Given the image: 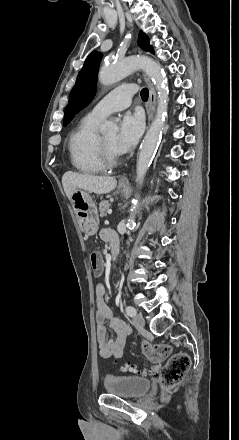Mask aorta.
Instances as JSON below:
<instances>
[{"instance_id": "762f6f07", "label": "aorta", "mask_w": 239, "mask_h": 440, "mask_svg": "<svg viewBox=\"0 0 239 440\" xmlns=\"http://www.w3.org/2000/svg\"><path fill=\"white\" fill-rule=\"evenodd\" d=\"M138 68H144L147 76L152 78L156 90L158 92V106L155 116L140 148L139 158L136 164V180L138 186H142L145 178V174L153 160L156 146L160 140L163 128V118L168 108V90L166 88L165 80L163 78V70L160 64L147 58V56H131L124 60L122 64H109V66H102L99 70L98 80L103 86H111L120 82L126 76H129L131 72H135ZM117 120H107L102 126H99L100 134L106 136V134H117L118 126ZM139 196L136 194L135 200H132V206L130 210V216L128 220V226H132L135 222V216L138 212Z\"/></svg>"}]
</instances>
